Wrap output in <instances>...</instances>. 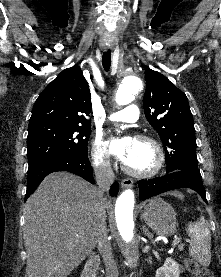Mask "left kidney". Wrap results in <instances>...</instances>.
<instances>
[{
    "label": "left kidney",
    "instance_id": "left-kidney-1",
    "mask_svg": "<svg viewBox=\"0 0 221 277\" xmlns=\"http://www.w3.org/2000/svg\"><path fill=\"white\" fill-rule=\"evenodd\" d=\"M180 266L172 258H167L163 267L157 269L155 277H179Z\"/></svg>",
    "mask_w": 221,
    "mask_h": 277
}]
</instances>
